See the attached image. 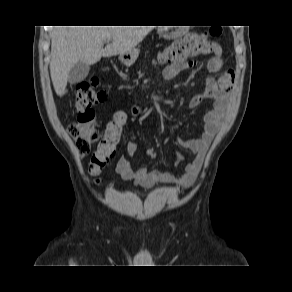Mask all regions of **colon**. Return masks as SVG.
Listing matches in <instances>:
<instances>
[{
	"instance_id": "5ec220e1",
	"label": "colon",
	"mask_w": 292,
	"mask_h": 292,
	"mask_svg": "<svg viewBox=\"0 0 292 292\" xmlns=\"http://www.w3.org/2000/svg\"><path fill=\"white\" fill-rule=\"evenodd\" d=\"M221 32L220 28L212 27L207 32L188 35L165 49L157 61L161 64L174 63L184 61L191 56L207 54L213 50L211 38L219 36ZM106 96V92L98 88L97 79L79 83L75 88L77 120L68 128L81 155L88 154L91 145L98 142V147L89 163V171L93 176H98L103 167L114 157L126 120L125 114L119 112L104 128L96 123L93 107L103 102ZM146 154L151 160H156L159 156L158 150L154 147H149Z\"/></svg>"
}]
</instances>
